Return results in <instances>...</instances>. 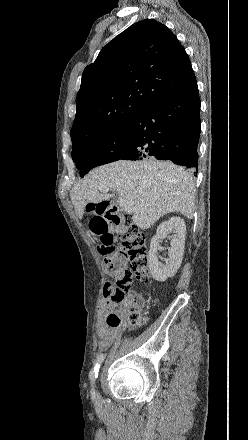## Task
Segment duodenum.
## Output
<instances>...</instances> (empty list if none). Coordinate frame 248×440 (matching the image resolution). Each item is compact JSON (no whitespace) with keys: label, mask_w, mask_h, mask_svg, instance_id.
<instances>
[{"label":"duodenum","mask_w":248,"mask_h":440,"mask_svg":"<svg viewBox=\"0 0 248 440\" xmlns=\"http://www.w3.org/2000/svg\"><path fill=\"white\" fill-rule=\"evenodd\" d=\"M102 205L105 206V207H107V208H110V207H112L114 204L111 203V202H108V201H104V202H102Z\"/></svg>","instance_id":"obj_1"}]
</instances>
